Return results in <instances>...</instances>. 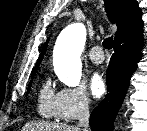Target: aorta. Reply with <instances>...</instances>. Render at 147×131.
Segmentation results:
<instances>
[{"label":"aorta","instance_id":"obj_1","mask_svg":"<svg viewBox=\"0 0 147 131\" xmlns=\"http://www.w3.org/2000/svg\"><path fill=\"white\" fill-rule=\"evenodd\" d=\"M86 41V29L81 23L66 27L59 35L53 53L54 70L61 82L77 87L82 76L81 53Z\"/></svg>","mask_w":147,"mask_h":131}]
</instances>
